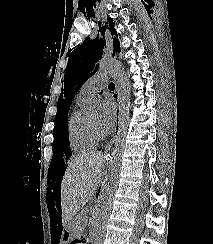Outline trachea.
I'll return each mask as SVG.
<instances>
[{
	"label": "trachea",
	"mask_w": 213,
	"mask_h": 244,
	"mask_svg": "<svg viewBox=\"0 0 213 244\" xmlns=\"http://www.w3.org/2000/svg\"><path fill=\"white\" fill-rule=\"evenodd\" d=\"M109 88H115L114 83H110V84H109Z\"/></svg>",
	"instance_id": "3493384b"
}]
</instances>
